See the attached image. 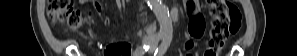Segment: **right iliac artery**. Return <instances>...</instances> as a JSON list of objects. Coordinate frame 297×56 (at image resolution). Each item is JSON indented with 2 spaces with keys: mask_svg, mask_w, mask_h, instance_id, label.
Segmentation results:
<instances>
[{
  "mask_svg": "<svg viewBox=\"0 0 297 56\" xmlns=\"http://www.w3.org/2000/svg\"><path fill=\"white\" fill-rule=\"evenodd\" d=\"M163 38V35L159 34L157 36V40H160ZM150 48V44L146 43L140 47H138L135 51H134V56H142L146 51H148V49Z\"/></svg>",
  "mask_w": 297,
  "mask_h": 56,
  "instance_id": "1",
  "label": "right iliac artery"
}]
</instances>
